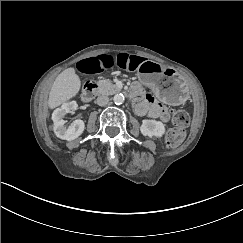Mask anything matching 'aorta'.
I'll use <instances>...</instances> for the list:
<instances>
[{
	"instance_id": "obj_1",
	"label": "aorta",
	"mask_w": 243,
	"mask_h": 243,
	"mask_svg": "<svg viewBox=\"0 0 243 243\" xmlns=\"http://www.w3.org/2000/svg\"><path fill=\"white\" fill-rule=\"evenodd\" d=\"M124 101H125V96L122 93H117L113 97V102L116 105H121L124 103Z\"/></svg>"
}]
</instances>
